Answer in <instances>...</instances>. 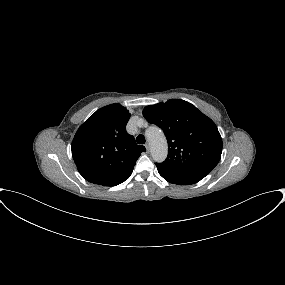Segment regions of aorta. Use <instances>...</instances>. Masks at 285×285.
Wrapping results in <instances>:
<instances>
[{"instance_id": "aorta-1", "label": "aorta", "mask_w": 285, "mask_h": 285, "mask_svg": "<svg viewBox=\"0 0 285 285\" xmlns=\"http://www.w3.org/2000/svg\"><path fill=\"white\" fill-rule=\"evenodd\" d=\"M146 137L150 144L152 158L156 162L164 161L167 157L168 146L162 130L156 126L149 127L146 130Z\"/></svg>"}]
</instances>
